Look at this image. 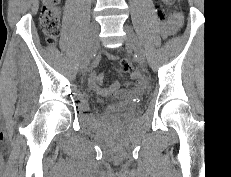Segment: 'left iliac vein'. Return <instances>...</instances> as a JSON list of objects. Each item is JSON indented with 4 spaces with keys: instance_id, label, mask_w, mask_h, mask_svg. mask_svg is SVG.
I'll return each instance as SVG.
<instances>
[{
    "instance_id": "4c4485c4",
    "label": "left iliac vein",
    "mask_w": 231,
    "mask_h": 177,
    "mask_svg": "<svg viewBox=\"0 0 231 177\" xmlns=\"http://www.w3.org/2000/svg\"><path fill=\"white\" fill-rule=\"evenodd\" d=\"M124 30L126 32V44H127V46H129L131 49H133L139 62L143 64L145 61L144 51H143L141 43L139 42L136 34L132 30V28L128 25L124 26Z\"/></svg>"
}]
</instances>
